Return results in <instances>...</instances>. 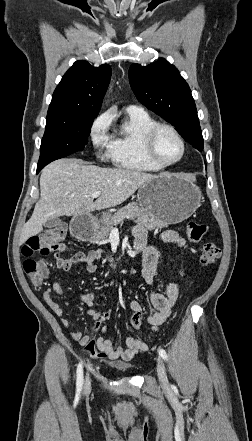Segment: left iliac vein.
<instances>
[{
	"mask_svg": "<svg viewBox=\"0 0 252 441\" xmlns=\"http://www.w3.org/2000/svg\"><path fill=\"white\" fill-rule=\"evenodd\" d=\"M157 375L159 378V382L162 385V387H166L168 386V378H167V374H166V369H165V365L164 362L161 358L157 359Z\"/></svg>",
	"mask_w": 252,
	"mask_h": 441,
	"instance_id": "1",
	"label": "left iliac vein"
}]
</instances>
